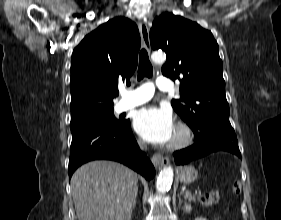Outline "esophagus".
<instances>
[{"label": "esophagus", "mask_w": 281, "mask_h": 220, "mask_svg": "<svg viewBox=\"0 0 281 220\" xmlns=\"http://www.w3.org/2000/svg\"><path fill=\"white\" fill-rule=\"evenodd\" d=\"M139 31L141 35L142 45L143 47L150 52V37H149V28L145 21H141L139 23ZM152 163L155 167L161 168L164 165H168L170 163L169 158L164 157L163 155L156 153L152 157Z\"/></svg>", "instance_id": "34e87169"}]
</instances>
